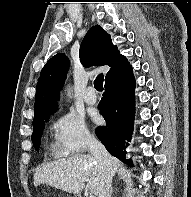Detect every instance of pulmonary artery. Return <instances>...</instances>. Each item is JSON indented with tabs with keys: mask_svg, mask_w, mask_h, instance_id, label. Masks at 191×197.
Instances as JSON below:
<instances>
[{
	"mask_svg": "<svg viewBox=\"0 0 191 197\" xmlns=\"http://www.w3.org/2000/svg\"><path fill=\"white\" fill-rule=\"evenodd\" d=\"M84 101L89 104V105H93L96 103L97 101V96L94 92L93 87H88L85 91L84 94Z\"/></svg>",
	"mask_w": 191,
	"mask_h": 197,
	"instance_id": "e3ab8cb5",
	"label": "pulmonary artery"
}]
</instances>
